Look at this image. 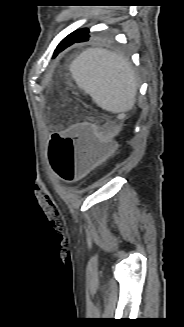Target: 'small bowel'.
Here are the masks:
<instances>
[{
    "instance_id": "obj_1",
    "label": "small bowel",
    "mask_w": 184,
    "mask_h": 327,
    "mask_svg": "<svg viewBox=\"0 0 184 327\" xmlns=\"http://www.w3.org/2000/svg\"><path fill=\"white\" fill-rule=\"evenodd\" d=\"M67 129H72V126L71 127H69V128H67ZM66 129L65 130H62V131H60V132H58L57 134H55V135H66Z\"/></svg>"
}]
</instances>
